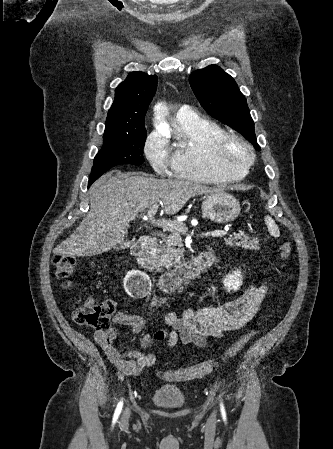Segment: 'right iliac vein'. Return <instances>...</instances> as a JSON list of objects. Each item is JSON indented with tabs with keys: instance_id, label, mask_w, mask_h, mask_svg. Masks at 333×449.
Listing matches in <instances>:
<instances>
[{
	"instance_id": "obj_1",
	"label": "right iliac vein",
	"mask_w": 333,
	"mask_h": 449,
	"mask_svg": "<svg viewBox=\"0 0 333 449\" xmlns=\"http://www.w3.org/2000/svg\"><path fill=\"white\" fill-rule=\"evenodd\" d=\"M129 417H130V411H129V410H126L125 413H124V415H123V417H122V422H123L124 424H126V423L128 422Z\"/></svg>"
}]
</instances>
